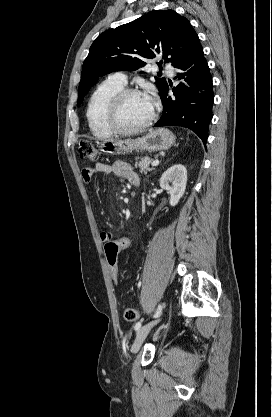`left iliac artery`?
<instances>
[{
    "label": "left iliac artery",
    "mask_w": 272,
    "mask_h": 417,
    "mask_svg": "<svg viewBox=\"0 0 272 417\" xmlns=\"http://www.w3.org/2000/svg\"><path fill=\"white\" fill-rule=\"evenodd\" d=\"M161 312H162V305L159 304L154 317L155 318L159 317ZM140 327H141V321H139L135 324V326H134L135 331H138L140 329Z\"/></svg>",
    "instance_id": "left-iliac-artery-1"
}]
</instances>
